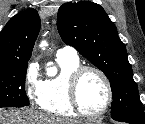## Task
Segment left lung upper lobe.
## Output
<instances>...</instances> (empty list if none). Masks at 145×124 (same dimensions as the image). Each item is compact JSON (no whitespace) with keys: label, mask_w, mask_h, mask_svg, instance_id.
<instances>
[{"label":"left lung upper lobe","mask_w":145,"mask_h":124,"mask_svg":"<svg viewBox=\"0 0 145 124\" xmlns=\"http://www.w3.org/2000/svg\"><path fill=\"white\" fill-rule=\"evenodd\" d=\"M57 26L63 41L76 48L110 80L112 118L145 124L126 47L104 9L89 1L65 3L59 8Z\"/></svg>","instance_id":"left-lung-upper-lobe-1"}]
</instances>
